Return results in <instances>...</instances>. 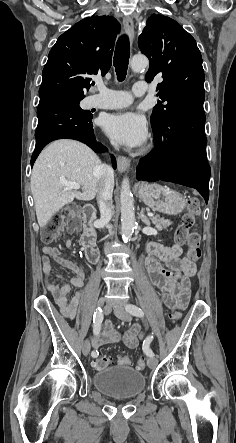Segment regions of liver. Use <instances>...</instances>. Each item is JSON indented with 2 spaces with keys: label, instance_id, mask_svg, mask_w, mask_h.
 <instances>
[{
  "label": "liver",
  "instance_id": "1",
  "mask_svg": "<svg viewBox=\"0 0 236 443\" xmlns=\"http://www.w3.org/2000/svg\"><path fill=\"white\" fill-rule=\"evenodd\" d=\"M101 165V160L88 146L75 140L54 141L41 152L31 175V192L41 228L74 199L95 198L99 188L97 169ZM61 178L80 184L82 192L67 190Z\"/></svg>",
  "mask_w": 236,
  "mask_h": 443
}]
</instances>
